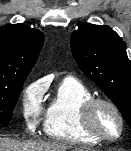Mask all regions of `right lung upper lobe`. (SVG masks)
<instances>
[{
    "label": "right lung upper lobe",
    "mask_w": 131,
    "mask_h": 151,
    "mask_svg": "<svg viewBox=\"0 0 131 151\" xmlns=\"http://www.w3.org/2000/svg\"><path fill=\"white\" fill-rule=\"evenodd\" d=\"M44 35L25 24L0 28V80L26 79L43 46Z\"/></svg>",
    "instance_id": "1"
}]
</instances>
